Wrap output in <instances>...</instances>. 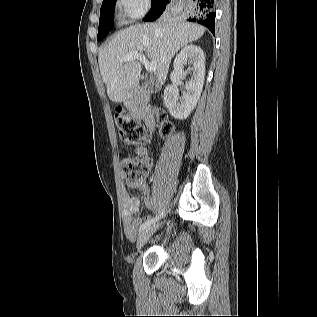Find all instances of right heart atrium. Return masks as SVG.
Instances as JSON below:
<instances>
[{"instance_id": "right-heart-atrium-1", "label": "right heart atrium", "mask_w": 317, "mask_h": 317, "mask_svg": "<svg viewBox=\"0 0 317 317\" xmlns=\"http://www.w3.org/2000/svg\"><path fill=\"white\" fill-rule=\"evenodd\" d=\"M116 5L125 23L140 19L149 9L150 0H117Z\"/></svg>"}]
</instances>
